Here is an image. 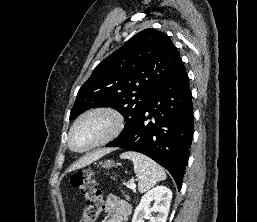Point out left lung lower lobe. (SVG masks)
I'll list each match as a JSON object with an SVG mask.
<instances>
[{"label":"left lung lower lobe","mask_w":257,"mask_h":222,"mask_svg":"<svg viewBox=\"0 0 257 222\" xmlns=\"http://www.w3.org/2000/svg\"><path fill=\"white\" fill-rule=\"evenodd\" d=\"M183 62L149 98L137 119L106 147L140 152L166 168L181 189L193 137V106Z\"/></svg>","instance_id":"0a47b994"}]
</instances>
